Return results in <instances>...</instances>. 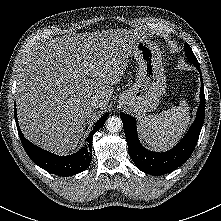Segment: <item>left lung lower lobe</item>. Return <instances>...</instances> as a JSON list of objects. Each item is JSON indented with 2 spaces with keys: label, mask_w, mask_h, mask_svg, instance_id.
I'll use <instances>...</instances> for the list:
<instances>
[{
  "label": "left lung lower lobe",
  "mask_w": 221,
  "mask_h": 221,
  "mask_svg": "<svg viewBox=\"0 0 221 221\" xmlns=\"http://www.w3.org/2000/svg\"><path fill=\"white\" fill-rule=\"evenodd\" d=\"M201 75L200 67H196ZM200 105L194 123L183 139L167 152H153L144 148L137 136L136 119L120 113L123 122L129 155L138 169L150 175H163L184 164L191 156L198 141L205 117V95L202 75Z\"/></svg>",
  "instance_id": "0a47b994"
}]
</instances>
